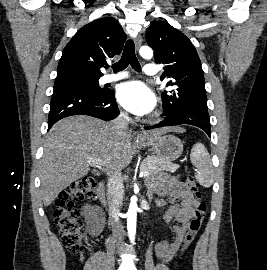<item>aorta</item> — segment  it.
<instances>
[{
	"label": "aorta",
	"instance_id": "1",
	"mask_svg": "<svg viewBox=\"0 0 267 270\" xmlns=\"http://www.w3.org/2000/svg\"><path fill=\"white\" fill-rule=\"evenodd\" d=\"M140 55L145 59H151L153 57V50L148 46H142L139 50ZM137 199L132 198L128 212H127V229L130 241L133 243L136 235V221H137Z\"/></svg>",
	"mask_w": 267,
	"mask_h": 270
}]
</instances>
